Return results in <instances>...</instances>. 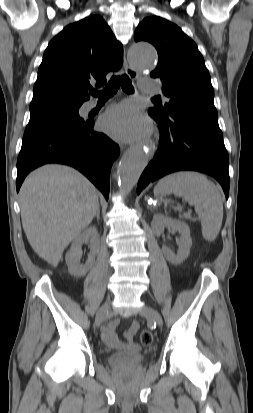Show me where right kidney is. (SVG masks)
I'll list each match as a JSON object with an SVG mask.
<instances>
[{"mask_svg": "<svg viewBox=\"0 0 253 413\" xmlns=\"http://www.w3.org/2000/svg\"><path fill=\"white\" fill-rule=\"evenodd\" d=\"M90 241V254L84 265L80 264L81 247L83 243ZM100 248V236L94 226L87 228L80 236L74 239L70 250L66 253V264L71 275L83 277L91 269L95 261V255Z\"/></svg>", "mask_w": 253, "mask_h": 413, "instance_id": "1", "label": "right kidney"}]
</instances>
